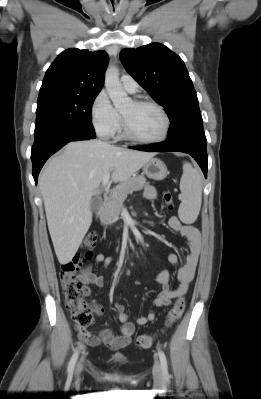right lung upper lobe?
I'll use <instances>...</instances> for the list:
<instances>
[{"label": "right lung upper lobe", "mask_w": 261, "mask_h": 399, "mask_svg": "<svg viewBox=\"0 0 261 399\" xmlns=\"http://www.w3.org/2000/svg\"><path fill=\"white\" fill-rule=\"evenodd\" d=\"M105 51L68 49L48 68L39 97L51 94L95 95L104 84Z\"/></svg>", "instance_id": "1"}]
</instances>
